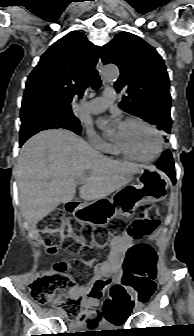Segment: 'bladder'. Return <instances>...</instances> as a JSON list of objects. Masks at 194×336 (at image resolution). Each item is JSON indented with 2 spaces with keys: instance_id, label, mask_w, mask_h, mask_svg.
Wrapping results in <instances>:
<instances>
[{
  "instance_id": "obj_1",
  "label": "bladder",
  "mask_w": 194,
  "mask_h": 336,
  "mask_svg": "<svg viewBox=\"0 0 194 336\" xmlns=\"http://www.w3.org/2000/svg\"><path fill=\"white\" fill-rule=\"evenodd\" d=\"M87 325L85 323L75 322L70 329L71 330H83L86 329Z\"/></svg>"
}]
</instances>
